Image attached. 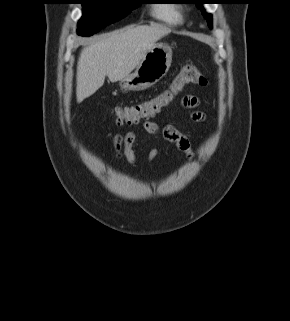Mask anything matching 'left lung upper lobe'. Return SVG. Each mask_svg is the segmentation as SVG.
Returning a JSON list of instances; mask_svg holds the SVG:
<instances>
[{"instance_id": "left-lung-upper-lobe-1", "label": "left lung upper lobe", "mask_w": 290, "mask_h": 321, "mask_svg": "<svg viewBox=\"0 0 290 321\" xmlns=\"http://www.w3.org/2000/svg\"><path fill=\"white\" fill-rule=\"evenodd\" d=\"M205 0H196L195 1V4L197 5L198 8H201L202 10V14L203 16L207 19V23L209 25L210 28H212L211 26V15L210 14H207L204 9L202 8V4H204Z\"/></svg>"}]
</instances>
